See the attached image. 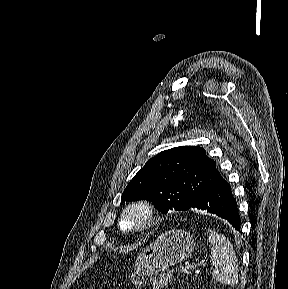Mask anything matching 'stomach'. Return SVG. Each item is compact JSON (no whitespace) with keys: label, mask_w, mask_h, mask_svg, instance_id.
I'll return each mask as SVG.
<instances>
[{"label":"stomach","mask_w":288,"mask_h":289,"mask_svg":"<svg viewBox=\"0 0 288 289\" xmlns=\"http://www.w3.org/2000/svg\"><path fill=\"white\" fill-rule=\"evenodd\" d=\"M193 236L182 229H173L159 236L137 257L134 270L153 276L187 259L194 250Z\"/></svg>","instance_id":"obj_1"}]
</instances>
